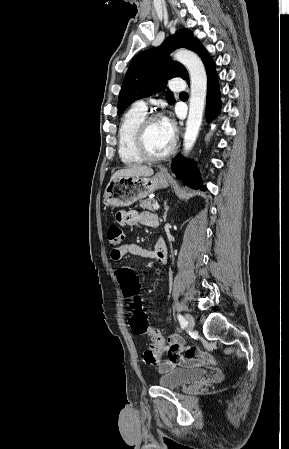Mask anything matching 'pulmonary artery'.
<instances>
[{"mask_svg": "<svg viewBox=\"0 0 289 449\" xmlns=\"http://www.w3.org/2000/svg\"><path fill=\"white\" fill-rule=\"evenodd\" d=\"M183 86H184L183 81L180 78H173L169 81V87L172 90L182 89ZM134 106L145 111L147 110V103L144 100H137L134 103Z\"/></svg>", "mask_w": 289, "mask_h": 449, "instance_id": "pulmonary-artery-1", "label": "pulmonary artery"}]
</instances>
